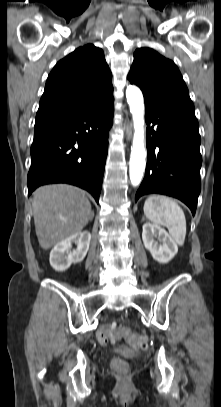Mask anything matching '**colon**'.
Segmentation results:
<instances>
[{
  "instance_id": "colon-1",
  "label": "colon",
  "mask_w": 221,
  "mask_h": 407,
  "mask_svg": "<svg viewBox=\"0 0 221 407\" xmlns=\"http://www.w3.org/2000/svg\"><path fill=\"white\" fill-rule=\"evenodd\" d=\"M124 337L129 344L141 350H145L148 346L147 337L138 335L126 326L108 325L100 328L97 333L98 341L102 345L109 342H114ZM111 367L117 372H125L127 370V363L119 357L111 359Z\"/></svg>"
}]
</instances>
